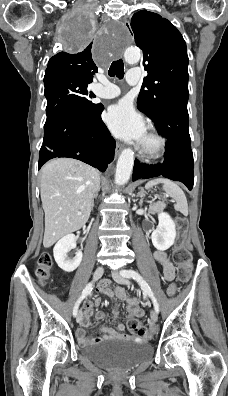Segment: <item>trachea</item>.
Listing matches in <instances>:
<instances>
[{
	"instance_id": "obj_1",
	"label": "trachea",
	"mask_w": 228,
	"mask_h": 396,
	"mask_svg": "<svg viewBox=\"0 0 228 396\" xmlns=\"http://www.w3.org/2000/svg\"><path fill=\"white\" fill-rule=\"evenodd\" d=\"M109 76L111 77H118L119 79H123L124 77V64L122 59H119L117 61H113L109 71H108Z\"/></svg>"
}]
</instances>
